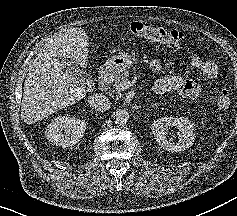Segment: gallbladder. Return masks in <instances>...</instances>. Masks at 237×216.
<instances>
[{
    "instance_id": "1",
    "label": "gallbladder",
    "mask_w": 237,
    "mask_h": 216,
    "mask_svg": "<svg viewBox=\"0 0 237 216\" xmlns=\"http://www.w3.org/2000/svg\"><path fill=\"white\" fill-rule=\"evenodd\" d=\"M82 82H83V83H86V84H90V82H89L88 80H85L84 77L82 78Z\"/></svg>"
}]
</instances>
